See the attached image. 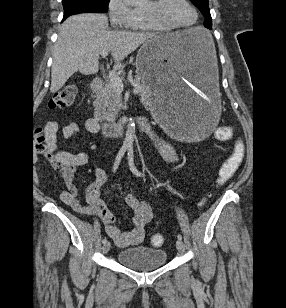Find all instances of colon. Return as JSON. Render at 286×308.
<instances>
[{
    "label": "colon",
    "instance_id": "obj_1",
    "mask_svg": "<svg viewBox=\"0 0 286 308\" xmlns=\"http://www.w3.org/2000/svg\"><path fill=\"white\" fill-rule=\"evenodd\" d=\"M78 89L75 85H68L57 91L49 101L51 109L70 107L77 95ZM36 150L40 155L51 159L55 167H60V162L53 156V146L49 143L41 130L36 131ZM216 138L221 141H229L233 136V128L229 126L220 127L215 132ZM244 158V147L240 142L234 145L231 154L223 162L219 169L217 183L223 185L228 182L238 171ZM151 244L153 247H161L164 244V238L160 234L152 235Z\"/></svg>",
    "mask_w": 286,
    "mask_h": 308
}]
</instances>
